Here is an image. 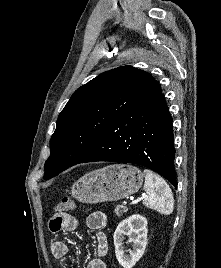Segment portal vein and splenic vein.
<instances>
[{
	"instance_id": "18ae733b",
	"label": "portal vein and splenic vein",
	"mask_w": 221,
	"mask_h": 268,
	"mask_svg": "<svg viewBox=\"0 0 221 268\" xmlns=\"http://www.w3.org/2000/svg\"><path fill=\"white\" fill-rule=\"evenodd\" d=\"M144 196H145V195L143 194L141 198H138V199H136V200L131 199L130 205H134V204L138 203L139 201H141V199H143Z\"/></svg>"
}]
</instances>
